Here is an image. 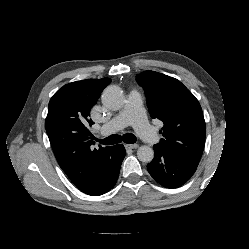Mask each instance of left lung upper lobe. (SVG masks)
I'll use <instances>...</instances> for the list:
<instances>
[{
	"mask_svg": "<svg viewBox=\"0 0 249 249\" xmlns=\"http://www.w3.org/2000/svg\"><path fill=\"white\" fill-rule=\"evenodd\" d=\"M146 94L147 106L153 119L164 124V147L198 166L204 145L206 126L200 103L177 79L154 71L136 75Z\"/></svg>",
	"mask_w": 249,
	"mask_h": 249,
	"instance_id": "left-lung-upper-lobe-1",
	"label": "left lung upper lobe"
}]
</instances>
